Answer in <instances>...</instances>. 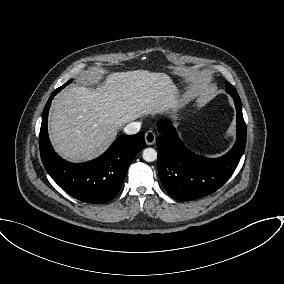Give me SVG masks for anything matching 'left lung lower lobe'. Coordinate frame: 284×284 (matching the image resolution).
I'll list each match as a JSON object with an SVG mask.
<instances>
[{
    "label": "left lung lower lobe",
    "mask_w": 284,
    "mask_h": 284,
    "mask_svg": "<svg viewBox=\"0 0 284 284\" xmlns=\"http://www.w3.org/2000/svg\"><path fill=\"white\" fill-rule=\"evenodd\" d=\"M237 140L233 148L219 158H205L189 151L167 121L158 123L157 167L166 192L180 201H190L218 190L233 174L245 149L246 125L241 100L235 98Z\"/></svg>",
    "instance_id": "0a47b994"
}]
</instances>
